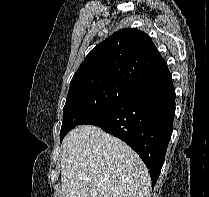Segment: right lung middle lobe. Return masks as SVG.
Segmentation results:
<instances>
[{
	"instance_id": "dd1d6c3e",
	"label": "right lung middle lobe",
	"mask_w": 209,
	"mask_h": 197,
	"mask_svg": "<svg viewBox=\"0 0 209 197\" xmlns=\"http://www.w3.org/2000/svg\"><path fill=\"white\" fill-rule=\"evenodd\" d=\"M136 90L114 80H88L70 84L64 106L60 141L72 128L114 106Z\"/></svg>"
}]
</instances>
